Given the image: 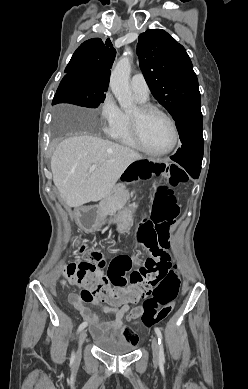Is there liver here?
Wrapping results in <instances>:
<instances>
[{
	"label": "liver",
	"mask_w": 248,
	"mask_h": 389,
	"mask_svg": "<svg viewBox=\"0 0 248 389\" xmlns=\"http://www.w3.org/2000/svg\"><path fill=\"white\" fill-rule=\"evenodd\" d=\"M142 159L118 143L87 135L70 137L58 144L51 158L53 182L70 207H79L105 198L125 169ZM94 164L97 168L89 175Z\"/></svg>",
	"instance_id": "obj_1"
}]
</instances>
